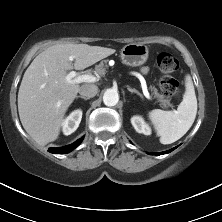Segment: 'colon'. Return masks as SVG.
I'll list each match as a JSON object with an SVG mask.
<instances>
[{
    "label": "colon",
    "mask_w": 222,
    "mask_h": 222,
    "mask_svg": "<svg viewBox=\"0 0 222 222\" xmlns=\"http://www.w3.org/2000/svg\"><path fill=\"white\" fill-rule=\"evenodd\" d=\"M156 64L161 72L159 80L161 94L165 97H179L181 88L179 82L172 76L179 70L178 60L169 53H160L156 58Z\"/></svg>",
    "instance_id": "1"
}]
</instances>
